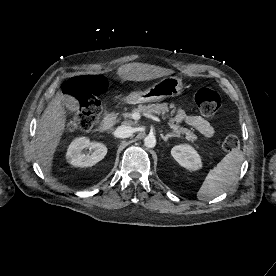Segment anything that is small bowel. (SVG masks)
Instances as JSON below:
<instances>
[{"instance_id": "c3829d8e", "label": "small bowel", "mask_w": 276, "mask_h": 276, "mask_svg": "<svg viewBox=\"0 0 276 276\" xmlns=\"http://www.w3.org/2000/svg\"><path fill=\"white\" fill-rule=\"evenodd\" d=\"M174 121L177 123L184 122L196 129L203 136L210 138L214 135V128L208 120L198 115H188L180 108L176 109Z\"/></svg>"}]
</instances>
